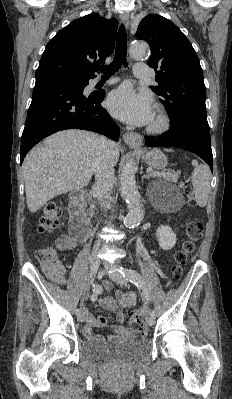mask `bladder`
Returning a JSON list of instances; mask_svg holds the SVG:
<instances>
[{
    "instance_id": "obj_1",
    "label": "bladder",
    "mask_w": 232,
    "mask_h": 399,
    "mask_svg": "<svg viewBox=\"0 0 232 399\" xmlns=\"http://www.w3.org/2000/svg\"><path fill=\"white\" fill-rule=\"evenodd\" d=\"M149 350L147 340L105 342L87 340L81 343L80 353L91 360L131 361L144 356Z\"/></svg>"
}]
</instances>
